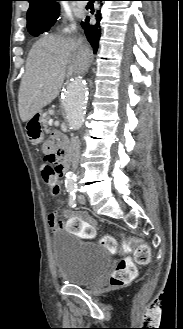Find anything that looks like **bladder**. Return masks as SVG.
<instances>
[{
	"instance_id": "bladder-1",
	"label": "bladder",
	"mask_w": 183,
	"mask_h": 329,
	"mask_svg": "<svg viewBox=\"0 0 183 329\" xmlns=\"http://www.w3.org/2000/svg\"><path fill=\"white\" fill-rule=\"evenodd\" d=\"M51 251L58 277L69 284L92 286L109 271L112 260L101 246L81 240L72 232H57Z\"/></svg>"
}]
</instances>
